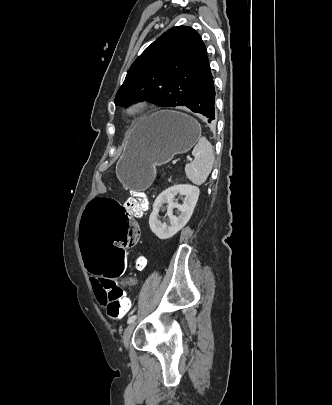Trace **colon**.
<instances>
[{
	"label": "colon",
	"mask_w": 332,
	"mask_h": 405,
	"mask_svg": "<svg viewBox=\"0 0 332 405\" xmlns=\"http://www.w3.org/2000/svg\"><path fill=\"white\" fill-rule=\"evenodd\" d=\"M146 209L144 194L133 191L125 203L118 202L117 197H91L90 202H86V211H83L79 230L82 265L90 275H106L99 277L97 284L104 294L107 315L113 320L130 312L129 302L117 284L116 275L125 274L129 249H136L141 235L137 220H133V212L144 213ZM145 265L144 258L136 259L138 270H143Z\"/></svg>",
	"instance_id": "colon-1"
}]
</instances>
